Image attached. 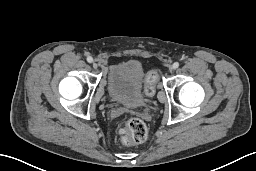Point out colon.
Returning <instances> with one entry per match:
<instances>
[{"instance_id":"1","label":"colon","mask_w":256,"mask_h":171,"mask_svg":"<svg viewBox=\"0 0 256 171\" xmlns=\"http://www.w3.org/2000/svg\"><path fill=\"white\" fill-rule=\"evenodd\" d=\"M157 75L154 71L147 74L145 80V94L152 97L155 93L154 84ZM148 136L147 125L138 118H128L120 123L118 137L123 145H134L144 142Z\"/></svg>"}]
</instances>
